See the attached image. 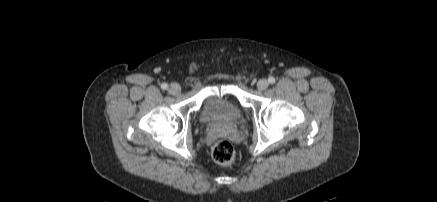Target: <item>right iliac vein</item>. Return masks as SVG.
Returning a JSON list of instances; mask_svg holds the SVG:
<instances>
[{"label": "right iliac vein", "instance_id": "right-iliac-vein-1", "mask_svg": "<svg viewBox=\"0 0 437 202\" xmlns=\"http://www.w3.org/2000/svg\"><path fill=\"white\" fill-rule=\"evenodd\" d=\"M180 91H181V87L177 83H172L168 88V92L173 95L179 94Z\"/></svg>", "mask_w": 437, "mask_h": 202}]
</instances>
